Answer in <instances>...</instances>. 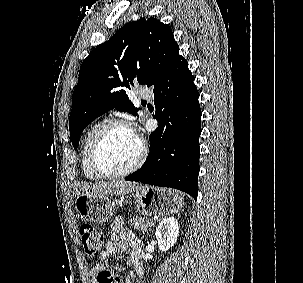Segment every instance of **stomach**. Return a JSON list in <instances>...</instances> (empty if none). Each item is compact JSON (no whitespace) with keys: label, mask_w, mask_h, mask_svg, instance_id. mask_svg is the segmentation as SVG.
Here are the masks:
<instances>
[{"label":"stomach","mask_w":303,"mask_h":283,"mask_svg":"<svg viewBox=\"0 0 303 283\" xmlns=\"http://www.w3.org/2000/svg\"><path fill=\"white\" fill-rule=\"evenodd\" d=\"M133 191L139 212L146 216H164L183 207L184 199L175 190L146 186ZM75 209L82 220L98 224L110 219L114 211L108 196L92 197L86 194L77 196Z\"/></svg>","instance_id":"obj_1"}]
</instances>
